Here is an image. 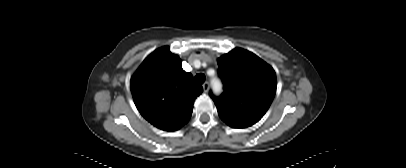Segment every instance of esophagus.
Here are the masks:
<instances>
[{
	"label": "esophagus",
	"mask_w": 406,
	"mask_h": 168,
	"mask_svg": "<svg viewBox=\"0 0 406 168\" xmlns=\"http://www.w3.org/2000/svg\"><path fill=\"white\" fill-rule=\"evenodd\" d=\"M203 90H204L205 93L208 92V90H209V83L208 82H205L203 84Z\"/></svg>",
	"instance_id": "34e87169"
}]
</instances>
